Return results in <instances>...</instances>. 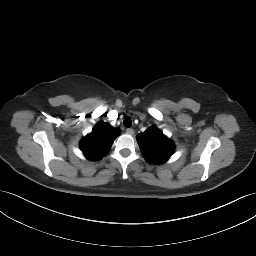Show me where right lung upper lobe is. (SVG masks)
Masks as SVG:
<instances>
[{
    "label": "right lung upper lobe",
    "mask_w": 256,
    "mask_h": 256,
    "mask_svg": "<svg viewBox=\"0 0 256 256\" xmlns=\"http://www.w3.org/2000/svg\"><path fill=\"white\" fill-rule=\"evenodd\" d=\"M119 134L118 128L98 122L92 132L81 140L80 148L88 159L98 160L109 151Z\"/></svg>",
    "instance_id": "1"
}]
</instances>
